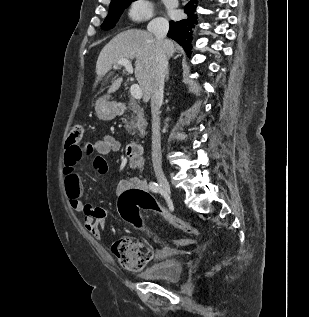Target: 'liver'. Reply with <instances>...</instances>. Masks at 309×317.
I'll use <instances>...</instances> for the list:
<instances>
[{
	"mask_svg": "<svg viewBox=\"0 0 309 317\" xmlns=\"http://www.w3.org/2000/svg\"><path fill=\"white\" fill-rule=\"evenodd\" d=\"M160 47V44L150 32L140 29H131L119 33L105 45L98 56L95 87L118 60L136 59L135 78L142 90L143 101L148 102L152 94L156 58ZM178 49L179 47L173 44V51L170 56ZM122 81V77L115 79L108 93L117 91Z\"/></svg>",
	"mask_w": 309,
	"mask_h": 317,
	"instance_id": "6515ba94",
	"label": "liver"
}]
</instances>
